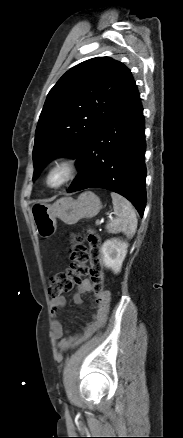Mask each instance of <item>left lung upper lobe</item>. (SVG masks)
<instances>
[{
	"label": "left lung upper lobe",
	"mask_w": 183,
	"mask_h": 438,
	"mask_svg": "<svg viewBox=\"0 0 183 438\" xmlns=\"http://www.w3.org/2000/svg\"><path fill=\"white\" fill-rule=\"evenodd\" d=\"M134 86L130 70L109 57L92 58L68 70L50 90L38 121L33 179L57 156L76 158Z\"/></svg>",
	"instance_id": "1"
}]
</instances>
